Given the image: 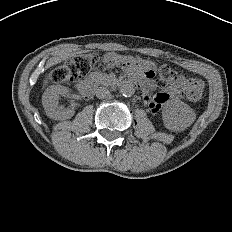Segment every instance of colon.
I'll return each instance as SVG.
<instances>
[{
    "label": "colon",
    "instance_id": "5ec220e1",
    "mask_svg": "<svg viewBox=\"0 0 232 232\" xmlns=\"http://www.w3.org/2000/svg\"><path fill=\"white\" fill-rule=\"evenodd\" d=\"M97 63V57L93 54L78 55L59 65L51 75L56 83L73 82L86 76ZM176 82L175 72L166 65H162L158 71V83L166 88ZM204 86L199 80H189L186 85L187 98L192 102H199L203 98Z\"/></svg>",
    "mask_w": 232,
    "mask_h": 232
}]
</instances>
